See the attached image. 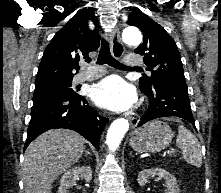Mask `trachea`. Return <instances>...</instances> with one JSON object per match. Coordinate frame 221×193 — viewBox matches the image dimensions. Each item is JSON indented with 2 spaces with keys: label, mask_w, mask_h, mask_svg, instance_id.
Wrapping results in <instances>:
<instances>
[{
  "label": "trachea",
  "mask_w": 221,
  "mask_h": 193,
  "mask_svg": "<svg viewBox=\"0 0 221 193\" xmlns=\"http://www.w3.org/2000/svg\"><path fill=\"white\" fill-rule=\"evenodd\" d=\"M97 64H100V65L108 64L109 66H112L114 68H133V69L141 70V68H138V67L126 66L120 63L119 61H117L115 58H113L110 54L109 43L104 38H102L101 48H100V52H99L98 59H97Z\"/></svg>",
  "instance_id": "3493384b"
}]
</instances>
